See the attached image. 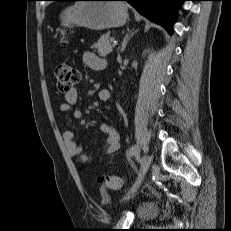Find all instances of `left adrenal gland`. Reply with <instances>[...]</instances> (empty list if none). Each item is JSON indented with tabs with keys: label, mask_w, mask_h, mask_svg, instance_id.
Masks as SVG:
<instances>
[{
	"label": "left adrenal gland",
	"mask_w": 231,
	"mask_h": 231,
	"mask_svg": "<svg viewBox=\"0 0 231 231\" xmlns=\"http://www.w3.org/2000/svg\"><path fill=\"white\" fill-rule=\"evenodd\" d=\"M138 30H129L127 29V33L123 38V41L121 43V47H120V51L123 52L127 46V43L129 42V40L131 39V37L137 32Z\"/></svg>",
	"instance_id": "a2214340"
}]
</instances>
